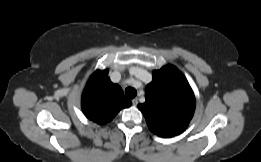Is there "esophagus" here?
Returning <instances> with one entry per match:
<instances>
[{
  "mask_svg": "<svg viewBox=\"0 0 261 162\" xmlns=\"http://www.w3.org/2000/svg\"><path fill=\"white\" fill-rule=\"evenodd\" d=\"M132 104H133V106H137V104H138V98H134V99L132 100Z\"/></svg>",
  "mask_w": 261,
  "mask_h": 162,
  "instance_id": "1",
  "label": "esophagus"
}]
</instances>
